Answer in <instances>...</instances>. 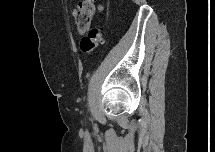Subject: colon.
I'll return each mask as SVG.
<instances>
[{
  "instance_id": "colon-1",
  "label": "colon",
  "mask_w": 215,
  "mask_h": 152,
  "mask_svg": "<svg viewBox=\"0 0 215 152\" xmlns=\"http://www.w3.org/2000/svg\"><path fill=\"white\" fill-rule=\"evenodd\" d=\"M94 12V4L91 0L79 2L76 12V24L80 32L89 29L90 22ZM103 42V33L101 28L93 27L89 30L87 36L81 39L80 48L83 53L91 54L96 47Z\"/></svg>"
}]
</instances>
